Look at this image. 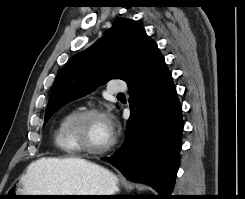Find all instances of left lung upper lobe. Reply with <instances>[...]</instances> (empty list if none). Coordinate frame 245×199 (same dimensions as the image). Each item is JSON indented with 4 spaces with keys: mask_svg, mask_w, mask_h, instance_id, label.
I'll list each match as a JSON object with an SVG mask.
<instances>
[{
    "mask_svg": "<svg viewBox=\"0 0 245 199\" xmlns=\"http://www.w3.org/2000/svg\"><path fill=\"white\" fill-rule=\"evenodd\" d=\"M157 44L131 19H118L104 37L74 55L58 73L51 89L44 124L63 105L90 93L109 79L127 83L140 76ZM130 62L134 67L121 66Z\"/></svg>",
    "mask_w": 245,
    "mask_h": 199,
    "instance_id": "1",
    "label": "left lung upper lobe"
}]
</instances>
